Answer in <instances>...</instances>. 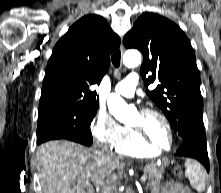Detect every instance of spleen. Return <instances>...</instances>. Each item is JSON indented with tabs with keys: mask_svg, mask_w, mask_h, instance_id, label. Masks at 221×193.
Listing matches in <instances>:
<instances>
[{
	"mask_svg": "<svg viewBox=\"0 0 221 193\" xmlns=\"http://www.w3.org/2000/svg\"><path fill=\"white\" fill-rule=\"evenodd\" d=\"M185 167V176L188 178L190 185L198 192L204 191L206 174L201 164L195 160L188 159L185 162Z\"/></svg>",
	"mask_w": 221,
	"mask_h": 193,
	"instance_id": "3e777b00",
	"label": "spleen"
}]
</instances>
